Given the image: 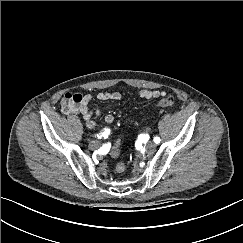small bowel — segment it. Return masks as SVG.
Listing matches in <instances>:
<instances>
[{
  "instance_id": "small-bowel-1",
  "label": "small bowel",
  "mask_w": 243,
  "mask_h": 243,
  "mask_svg": "<svg viewBox=\"0 0 243 243\" xmlns=\"http://www.w3.org/2000/svg\"><path fill=\"white\" fill-rule=\"evenodd\" d=\"M164 95V92L160 90H147L143 89L139 91L138 96L142 99H152V98H159ZM97 99L99 101H116L121 99V94L119 92H100L97 94ZM91 101V95L87 94L84 96L82 104L78 107V109L74 113H80L87 125L88 128L93 129L95 128L96 124L93 121V116H100L101 111L96 109H90L89 104ZM104 120L107 124H112L114 121V116L112 114H106ZM109 131L107 129L103 130L100 134L101 137H108Z\"/></svg>"
}]
</instances>
